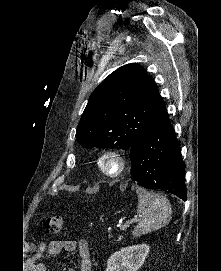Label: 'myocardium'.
<instances>
[{
  "label": "myocardium",
  "mask_w": 221,
  "mask_h": 271,
  "mask_svg": "<svg viewBox=\"0 0 221 271\" xmlns=\"http://www.w3.org/2000/svg\"><path fill=\"white\" fill-rule=\"evenodd\" d=\"M105 153L107 156H101L104 162V165H98L99 175H102L106 178H117L124 174L127 170L125 165H121L122 163L118 161V159H114L119 153H114L116 150H106Z\"/></svg>",
  "instance_id": "f54148a6"
}]
</instances>
